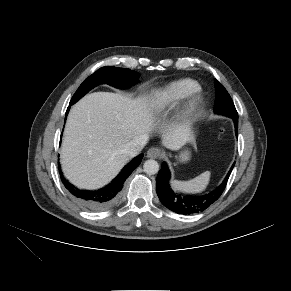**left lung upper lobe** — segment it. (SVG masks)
<instances>
[{"instance_id":"left-lung-upper-lobe-1","label":"left lung upper lobe","mask_w":291,"mask_h":291,"mask_svg":"<svg viewBox=\"0 0 291 291\" xmlns=\"http://www.w3.org/2000/svg\"><path fill=\"white\" fill-rule=\"evenodd\" d=\"M216 99L214 112L228 116H238L234 103L227 90L215 79Z\"/></svg>"}]
</instances>
